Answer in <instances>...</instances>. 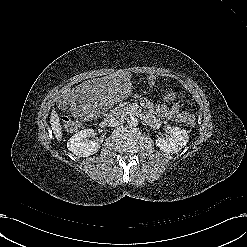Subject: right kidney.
Masks as SVG:
<instances>
[{
  "instance_id": "right-kidney-1",
  "label": "right kidney",
  "mask_w": 247,
  "mask_h": 247,
  "mask_svg": "<svg viewBox=\"0 0 247 247\" xmlns=\"http://www.w3.org/2000/svg\"><path fill=\"white\" fill-rule=\"evenodd\" d=\"M95 135L93 129H84L74 134L67 142V148L78 157H88L100 149L99 142L87 141V137Z\"/></svg>"
}]
</instances>
